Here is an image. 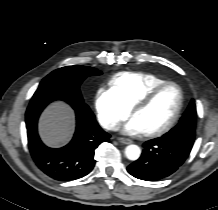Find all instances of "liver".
Masks as SVG:
<instances>
[{
  "label": "liver",
  "instance_id": "obj_1",
  "mask_svg": "<svg viewBox=\"0 0 218 210\" xmlns=\"http://www.w3.org/2000/svg\"><path fill=\"white\" fill-rule=\"evenodd\" d=\"M74 130V114L69 106L57 102L50 105L39 121V132L43 141L50 146L67 142Z\"/></svg>",
  "mask_w": 218,
  "mask_h": 210
}]
</instances>
